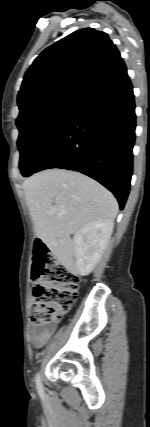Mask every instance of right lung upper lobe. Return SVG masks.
<instances>
[{"mask_svg": "<svg viewBox=\"0 0 150 427\" xmlns=\"http://www.w3.org/2000/svg\"><path fill=\"white\" fill-rule=\"evenodd\" d=\"M126 71L106 33L93 28L75 31L46 48L26 72L17 99L19 117L43 106H79Z\"/></svg>", "mask_w": 150, "mask_h": 427, "instance_id": "cb5924a9", "label": "right lung upper lobe"}]
</instances>
